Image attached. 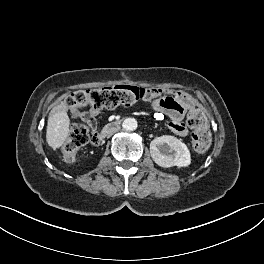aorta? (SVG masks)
<instances>
[{"instance_id": "1", "label": "aorta", "mask_w": 264, "mask_h": 264, "mask_svg": "<svg viewBox=\"0 0 264 264\" xmlns=\"http://www.w3.org/2000/svg\"><path fill=\"white\" fill-rule=\"evenodd\" d=\"M137 126V121L134 118H126L122 123V127L125 131H133Z\"/></svg>"}]
</instances>
